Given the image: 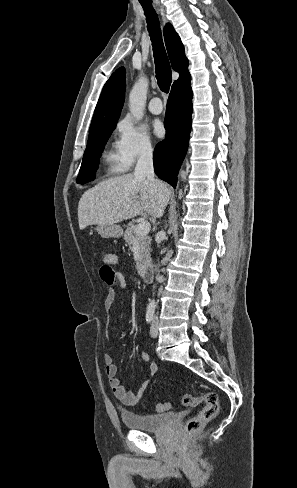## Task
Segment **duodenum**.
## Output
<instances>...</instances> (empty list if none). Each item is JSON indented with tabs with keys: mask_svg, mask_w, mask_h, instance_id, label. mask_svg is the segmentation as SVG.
<instances>
[{
	"mask_svg": "<svg viewBox=\"0 0 297 488\" xmlns=\"http://www.w3.org/2000/svg\"><path fill=\"white\" fill-rule=\"evenodd\" d=\"M138 273L140 277L146 281V282H151L153 279V269L150 264H144L139 267Z\"/></svg>",
	"mask_w": 297,
	"mask_h": 488,
	"instance_id": "duodenum-1",
	"label": "duodenum"
}]
</instances>
